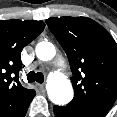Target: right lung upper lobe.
<instances>
[{"mask_svg": "<svg viewBox=\"0 0 117 117\" xmlns=\"http://www.w3.org/2000/svg\"><path fill=\"white\" fill-rule=\"evenodd\" d=\"M44 27L42 21L0 20V117H14L35 96L19 82L20 55Z\"/></svg>", "mask_w": 117, "mask_h": 117, "instance_id": "right-lung-upper-lobe-1", "label": "right lung upper lobe"}]
</instances>
